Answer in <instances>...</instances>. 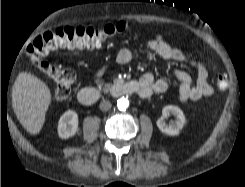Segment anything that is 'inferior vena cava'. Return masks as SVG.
Masks as SVG:
<instances>
[{"label": "inferior vena cava", "mask_w": 245, "mask_h": 187, "mask_svg": "<svg viewBox=\"0 0 245 187\" xmlns=\"http://www.w3.org/2000/svg\"><path fill=\"white\" fill-rule=\"evenodd\" d=\"M112 107L111 103L109 101H106V100H103L101 103H100V110L101 111H108L110 110Z\"/></svg>", "instance_id": "602c4592"}]
</instances>
